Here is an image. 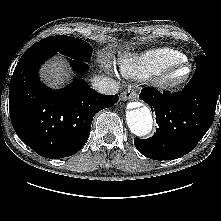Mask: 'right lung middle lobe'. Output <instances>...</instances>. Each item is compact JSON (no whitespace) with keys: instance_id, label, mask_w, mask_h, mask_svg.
I'll return each instance as SVG.
<instances>
[{"instance_id":"1","label":"right lung middle lobe","mask_w":221,"mask_h":221,"mask_svg":"<svg viewBox=\"0 0 221 221\" xmlns=\"http://www.w3.org/2000/svg\"><path fill=\"white\" fill-rule=\"evenodd\" d=\"M37 44L47 46L71 59L88 61L92 54L89 43L66 35L51 36L40 40Z\"/></svg>"}]
</instances>
